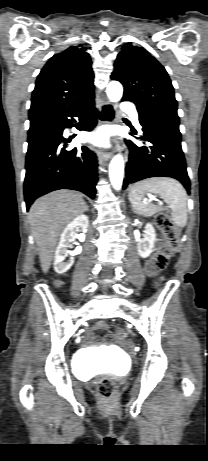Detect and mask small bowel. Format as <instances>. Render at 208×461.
<instances>
[{
  "instance_id": "small-bowel-1",
  "label": "small bowel",
  "mask_w": 208,
  "mask_h": 461,
  "mask_svg": "<svg viewBox=\"0 0 208 461\" xmlns=\"http://www.w3.org/2000/svg\"><path fill=\"white\" fill-rule=\"evenodd\" d=\"M147 272H148L149 274H153L154 272H156V271L152 270V269L149 267V262L147 263ZM107 329H108V326H107V324H106L105 322H99V323L96 325V330L105 331V330H107Z\"/></svg>"
}]
</instances>
